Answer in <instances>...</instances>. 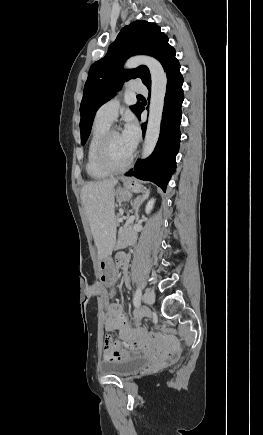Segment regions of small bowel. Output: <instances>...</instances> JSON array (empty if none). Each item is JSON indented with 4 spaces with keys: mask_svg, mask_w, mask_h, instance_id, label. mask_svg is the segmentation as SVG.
Wrapping results in <instances>:
<instances>
[{
    "mask_svg": "<svg viewBox=\"0 0 263 435\" xmlns=\"http://www.w3.org/2000/svg\"><path fill=\"white\" fill-rule=\"evenodd\" d=\"M125 243L131 242V238H126ZM129 257L124 253H118L114 258V268L123 269V278L126 284L129 283L127 274ZM142 315L135 313L128 317L120 304L111 303L107 305L105 315V329L108 332L117 331L119 343L114 340L111 350L103 349V360L112 362L124 359L130 355L151 356L158 364L164 361H178L179 354L176 352L174 341H165L168 334L165 332L150 331L149 333L140 326Z\"/></svg>",
    "mask_w": 263,
    "mask_h": 435,
    "instance_id": "obj_1",
    "label": "small bowel"
}]
</instances>
